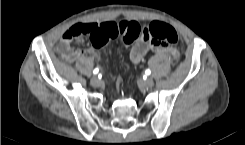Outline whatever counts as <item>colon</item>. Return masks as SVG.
Masks as SVG:
<instances>
[{
	"instance_id": "5ec220e1",
	"label": "colon",
	"mask_w": 245,
	"mask_h": 145,
	"mask_svg": "<svg viewBox=\"0 0 245 145\" xmlns=\"http://www.w3.org/2000/svg\"><path fill=\"white\" fill-rule=\"evenodd\" d=\"M141 28L136 22L122 21L118 28L113 29L109 36L110 38L120 37L121 43L127 47L131 45L139 36ZM96 30L90 24L77 23L69 28L64 38L67 40L83 39L90 37L94 39ZM143 34L152 42L163 46H173L178 41L177 31L170 25L154 21L144 27ZM68 52V51H66ZM178 54L174 53V61L178 62Z\"/></svg>"
}]
</instances>
